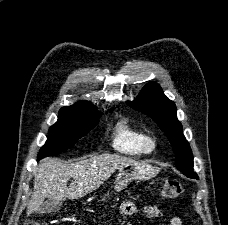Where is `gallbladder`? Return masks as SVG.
<instances>
[{
	"label": "gallbladder",
	"mask_w": 228,
	"mask_h": 225,
	"mask_svg": "<svg viewBox=\"0 0 228 225\" xmlns=\"http://www.w3.org/2000/svg\"><path fill=\"white\" fill-rule=\"evenodd\" d=\"M63 207V201H53V199H48L45 201L41 207H39V213H57Z\"/></svg>",
	"instance_id": "1"
}]
</instances>
